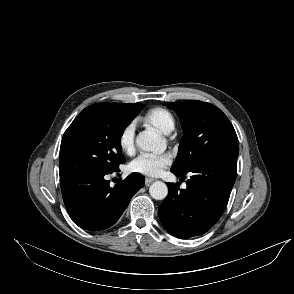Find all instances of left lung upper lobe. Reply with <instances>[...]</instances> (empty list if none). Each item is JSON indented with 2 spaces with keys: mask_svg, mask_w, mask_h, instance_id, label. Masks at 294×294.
I'll return each mask as SVG.
<instances>
[{
  "mask_svg": "<svg viewBox=\"0 0 294 294\" xmlns=\"http://www.w3.org/2000/svg\"><path fill=\"white\" fill-rule=\"evenodd\" d=\"M165 106L176 111L184 131L171 171L186 174L218 151L238 146L231 122L216 106L198 100Z\"/></svg>",
  "mask_w": 294,
  "mask_h": 294,
  "instance_id": "5c2ea615",
  "label": "left lung upper lobe"
}]
</instances>
